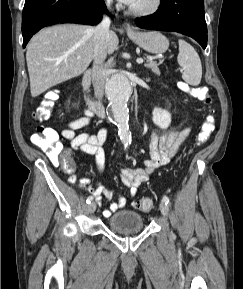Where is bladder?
Wrapping results in <instances>:
<instances>
[{"instance_id":"1","label":"bladder","mask_w":243,"mask_h":289,"mask_svg":"<svg viewBox=\"0 0 243 289\" xmlns=\"http://www.w3.org/2000/svg\"><path fill=\"white\" fill-rule=\"evenodd\" d=\"M108 227L115 232L139 231L144 227L143 217L132 210H122L112 214L107 220Z\"/></svg>"}]
</instances>
